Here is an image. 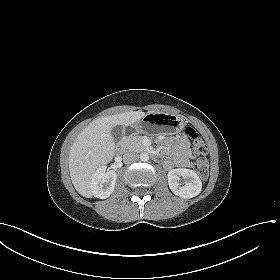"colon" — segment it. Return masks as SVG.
<instances>
[{
  "label": "colon",
  "instance_id": "obj_1",
  "mask_svg": "<svg viewBox=\"0 0 280 280\" xmlns=\"http://www.w3.org/2000/svg\"><path fill=\"white\" fill-rule=\"evenodd\" d=\"M185 136L191 141L193 152L199 157L193 163V169L202 178L206 179L209 174L208 160L203 157L207 153V146L199 135V133L192 127H187L184 130Z\"/></svg>",
  "mask_w": 280,
  "mask_h": 280
}]
</instances>
